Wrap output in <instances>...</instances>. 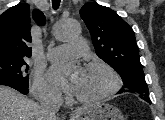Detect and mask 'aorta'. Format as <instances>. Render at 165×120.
<instances>
[{"label": "aorta", "instance_id": "1", "mask_svg": "<svg viewBox=\"0 0 165 120\" xmlns=\"http://www.w3.org/2000/svg\"><path fill=\"white\" fill-rule=\"evenodd\" d=\"M80 32V25L74 19L64 21L56 30V37L58 39H69L77 36Z\"/></svg>", "mask_w": 165, "mask_h": 120}]
</instances>
